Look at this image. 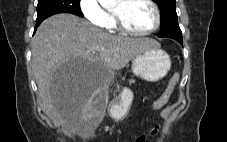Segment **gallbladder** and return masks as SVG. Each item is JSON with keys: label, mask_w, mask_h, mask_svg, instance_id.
<instances>
[{"label": "gallbladder", "mask_w": 227, "mask_h": 142, "mask_svg": "<svg viewBox=\"0 0 227 142\" xmlns=\"http://www.w3.org/2000/svg\"><path fill=\"white\" fill-rule=\"evenodd\" d=\"M108 98L105 93H96L94 97V104L92 108L95 113H104L106 109Z\"/></svg>", "instance_id": "gallbladder-1"}]
</instances>
